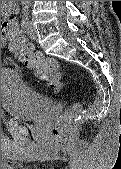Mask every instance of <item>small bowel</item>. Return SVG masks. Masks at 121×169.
I'll return each mask as SVG.
<instances>
[{
  "label": "small bowel",
  "instance_id": "c3829d8e",
  "mask_svg": "<svg viewBox=\"0 0 121 169\" xmlns=\"http://www.w3.org/2000/svg\"><path fill=\"white\" fill-rule=\"evenodd\" d=\"M1 13L3 16V20L1 22V45L3 46L6 43L4 33L10 29H16L19 31V28L17 21L14 18L15 8L13 1H1Z\"/></svg>",
  "mask_w": 121,
  "mask_h": 169
}]
</instances>
